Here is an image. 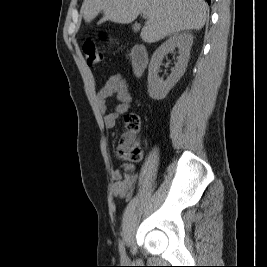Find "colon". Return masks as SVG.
<instances>
[{
	"label": "colon",
	"mask_w": 267,
	"mask_h": 267,
	"mask_svg": "<svg viewBox=\"0 0 267 267\" xmlns=\"http://www.w3.org/2000/svg\"><path fill=\"white\" fill-rule=\"evenodd\" d=\"M107 39L106 36L103 37ZM83 51L86 56L87 63L90 66H96L104 63V55L96 42L86 41L83 45ZM125 130L122 132L117 143L115 152L116 156L128 163L129 167L139 163L143 158V149L138 139L140 132V118L135 113L127 114L124 118Z\"/></svg>",
	"instance_id": "obj_1"
}]
</instances>
